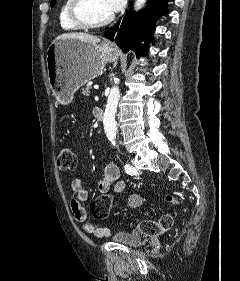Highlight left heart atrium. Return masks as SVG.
Masks as SVG:
<instances>
[{"label": "left heart atrium", "instance_id": "1", "mask_svg": "<svg viewBox=\"0 0 240 281\" xmlns=\"http://www.w3.org/2000/svg\"><path fill=\"white\" fill-rule=\"evenodd\" d=\"M106 3L109 10L113 13L121 10L126 4V0H106Z\"/></svg>", "mask_w": 240, "mask_h": 281}]
</instances>
